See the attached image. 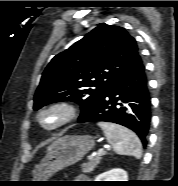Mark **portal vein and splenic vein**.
Returning a JSON list of instances; mask_svg holds the SVG:
<instances>
[{
  "instance_id": "obj_1",
  "label": "portal vein and splenic vein",
  "mask_w": 178,
  "mask_h": 186,
  "mask_svg": "<svg viewBox=\"0 0 178 186\" xmlns=\"http://www.w3.org/2000/svg\"><path fill=\"white\" fill-rule=\"evenodd\" d=\"M105 148L108 149L109 146H106ZM104 152H105V149H104V148L99 149L98 152L96 153V155L92 156L91 159L94 158V157H96V156H101V155H103Z\"/></svg>"
}]
</instances>
